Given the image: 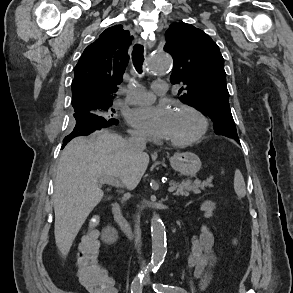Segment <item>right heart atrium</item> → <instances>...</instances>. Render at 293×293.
<instances>
[{"label": "right heart atrium", "mask_w": 293, "mask_h": 293, "mask_svg": "<svg viewBox=\"0 0 293 293\" xmlns=\"http://www.w3.org/2000/svg\"><path fill=\"white\" fill-rule=\"evenodd\" d=\"M130 134L134 137H137V138H144L145 137L144 134H142L141 132L134 130V129L130 130Z\"/></svg>", "instance_id": "d8ad5b80"}]
</instances>
